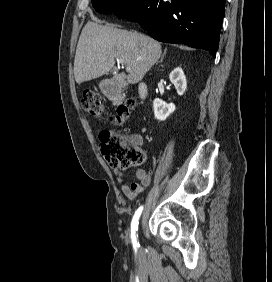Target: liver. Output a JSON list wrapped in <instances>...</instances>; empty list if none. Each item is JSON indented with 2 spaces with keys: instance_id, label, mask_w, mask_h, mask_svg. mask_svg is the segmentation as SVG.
<instances>
[{
  "instance_id": "1",
  "label": "liver",
  "mask_w": 272,
  "mask_h": 282,
  "mask_svg": "<svg viewBox=\"0 0 272 282\" xmlns=\"http://www.w3.org/2000/svg\"><path fill=\"white\" fill-rule=\"evenodd\" d=\"M161 53L160 43L151 37L89 21L77 44L75 80L80 84L101 77L113 68L115 59H118L130 67L127 81L135 84L143 79Z\"/></svg>"
}]
</instances>
